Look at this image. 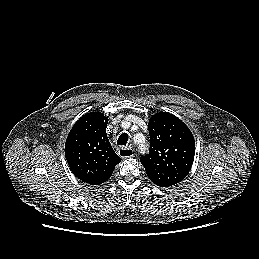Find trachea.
<instances>
[{
    "label": "trachea",
    "mask_w": 259,
    "mask_h": 259,
    "mask_svg": "<svg viewBox=\"0 0 259 259\" xmlns=\"http://www.w3.org/2000/svg\"><path fill=\"white\" fill-rule=\"evenodd\" d=\"M128 134L127 133H122L118 140H117V144L121 145V146H126L127 142H128Z\"/></svg>",
    "instance_id": "1"
}]
</instances>
